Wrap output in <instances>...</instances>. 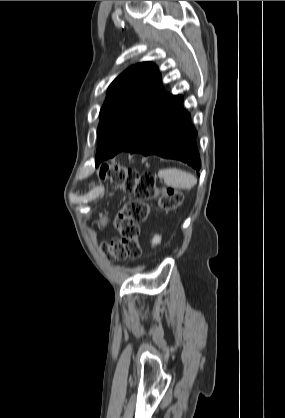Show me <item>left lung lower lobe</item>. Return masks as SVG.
<instances>
[{
    "label": "left lung lower lobe",
    "mask_w": 285,
    "mask_h": 418,
    "mask_svg": "<svg viewBox=\"0 0 285 418\" xmlns=\"http://www.w3.org/2000/svg\"><path fill=\"white\" fill-rule=\"evenodd\" d=\"M182 103L183 96L168 94L122 151L177 159L199 170L197 132ZM108 156L107 151L99 154L104 160Z\"/></svg>",
    "instance_id": "left-lung-lower-lobe-1"
}]
</instances>
